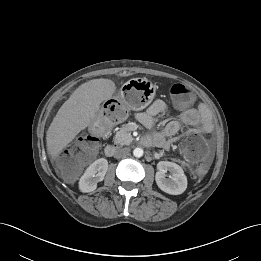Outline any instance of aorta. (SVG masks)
<instances>
[{
  "mask_svg": "<svg viewBox=\"0 0 261 261\" xmlns=\"http://www.w3.org/2000/svg\"><path fill=\"white\" fill-rule=\"evenodd\" d=\"M133 155L135 156V157H141V156H143V149L142 148H135L134 150H133Z\"/></svg>",
  "mask_w": 261,
  "mask_h": 261,
  "instance_id": "obj_1",
  "label": "aorta"
}]
</instances>
